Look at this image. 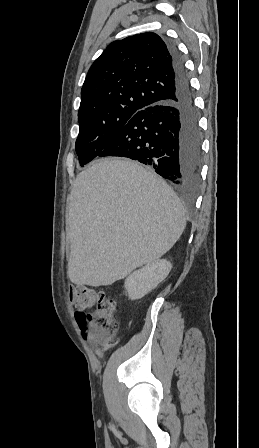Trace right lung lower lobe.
<instances>
[{"mask_svg":"<svg viewBox=\"0 0 259 448\" xmlns=\"http://www.w3.org/2000/svg\"><path fill=\"white\" fill-rule=\"evenodd\" d=\"M175 73L171 99L136 113L101 151V156L137 160L180 186H193L201 165V132L182 59L168 43Z\"/></svg>","mask_w":259,"mask_h":448,"instance_id":"1","label":"right lung lower lobe"}]
</instances>
